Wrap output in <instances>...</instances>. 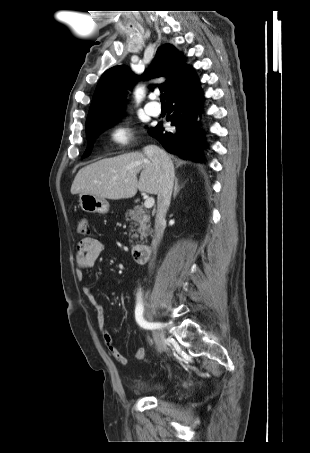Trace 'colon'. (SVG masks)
Wrapping results in <instances>:
<instances>
[{
    "instance_id": "5ec220e1",
    "label": "colon",
    "mask_w": 310,
    "mask_h": 453,
    "mask_svg": "<svg viewBox=\"0 0 310 453\" xmlns=\"http://www.w3.org/2000/svg\"><path fill=\"white\" fill-rule=\"evenodd\" d=\"M77 233L83 236H86L90 233V225L87 218L82 217L79 219L77 224Z\"/></svg>"
}]
</instances>
